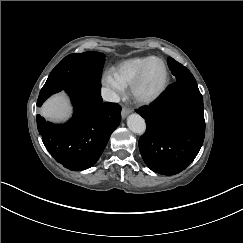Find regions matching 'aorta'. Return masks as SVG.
Segmentation results:
<instances>
[{
    "instance_id": "aorta-1",
    "label": "aorta",
    "mask_w": 243,
    "mask_h": 243,
    "mask_svg": "<svg viewBox=\"0 0 243 243\" xmlns=\"http://www.w3.org/2000/svg\"><path fill=\"white\" fill-rule=\"evenodd\" d=\"M128 128L136 134L142 135L146 130L145 120L139 114H131L127 118Z\"/></svg>"
}]
</instances>
